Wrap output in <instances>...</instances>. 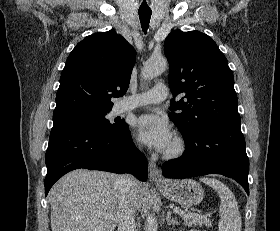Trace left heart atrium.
I'll return each mask as SVG.
<instances>
[{
	"instance_id": "1",
	"label": "left heart atrium",
	"mask_w": 280,
	"mask_h": 231,
	"mask_svg": "<svg viewBox=\"0 0 280 231\" xmlns=\"http://www.w3.org/2000/svg\"><path fill=\"white\" fill-rule=\"evenodd\" d=\"M135 135L159 152L168 150L174 140L170 126L155 115H141L133 123Z\"/></svg>"
}]
</instances>
